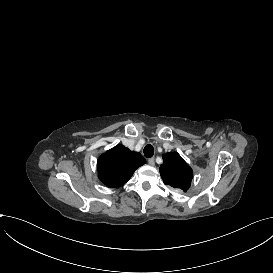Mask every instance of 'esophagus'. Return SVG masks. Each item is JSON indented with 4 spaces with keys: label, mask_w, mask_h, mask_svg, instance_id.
<instances>
[{
    "label": "esophagus",
    "mask_w": 273,
    "mask_h": 273,
    "mask_svg": "<svg viewBox=\"0 0 273 273\" xmlns=\"http://www.w3.org/2000/svg\"><path fill=\"white\" fill-rule=\"evenodd\" d=\"M148 163H149V165L154 166L155 165V159L154 158H149Z\"/></svg>",
    "instance_id": "obj_1"
}]
</instances>
